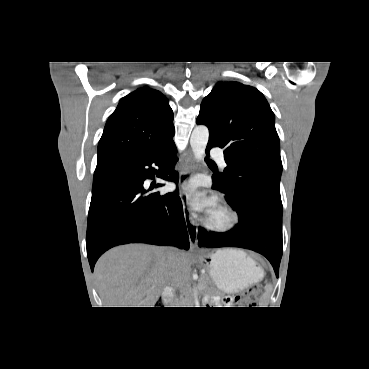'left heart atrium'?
I'll return each instance as SVG.
<instances>
[{
  "instance_id": "obj_1",
  "label": "left heart atrium",
  "mask_w": 369,
  "mask_h": 369,
  "mask_svg": "<svg viewBox=\"0 0 369 369\" xmlns=\"http://www.w3.org/2000/svg\"><path fill=\"white\" fill-rule=\"evenodd\" d=\"M189 191L192 192L193 188L189 187ZM195 206L198 209L210 210L214 205V200L212 198H207L201 195H196L193 199Z\"/></svg>"
}]
</instances>
